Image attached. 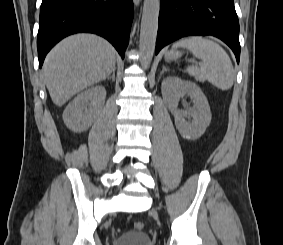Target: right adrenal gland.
Listing matches in <instances>:
<instances>
[{"label": "right adrenal gland", "mask_w": 283, "mask_h": 245, "mask_svg": "<svg viewBox=\"0 0 283 245\" xmlns=\"http://www.w3.org/2000/svg\"><path fill=\"white\" fill-rule=\"evenodd\" d=\"M115 71H116V69H113L112 75L109 76V77H107L108 80H109V79H112V81H115Z\"/></svg>", "instance_id": "2a0ac1e0"}]
</instances>
